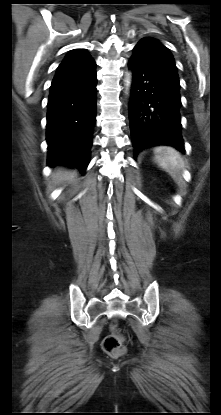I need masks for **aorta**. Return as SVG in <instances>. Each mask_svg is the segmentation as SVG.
I'll list each match as a JSON object with an SVG mask.
<instances>
[{
	"label": "aorta",
	"mask_w": 221,
	"mask_h": 415,
	"mask_svg": "<svg viewBox=\"0 0 221 415\" xmlns=\"http://www.w3.org/2000/svg\"><path fill=\"white\" fill-rule=\"evenodd\" d=\"M130 83H131V76H130V74H127V78H126V86H127V88L130 86Z\"/></svg>",
	"instance_id": "aorta-1"
}]
</instances>
